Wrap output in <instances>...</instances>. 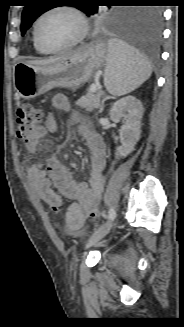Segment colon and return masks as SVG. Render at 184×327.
<instances>
[{
  "label": "colon",
  "mask_w": 184,
  "mask_h": 327,
  "mask_svg": "<svg viewBox=\"0 0 184 327\" xmlns=\"http://www.w3.org/2000/svg\"><path fill=\"white\" fill-rule=\"evenodd\" d=\"M42 111L31 104H23L18 107L16 112L17 136L20 139L28 140L39 129L42 121ZM53 211H58L57 208H52ZM91 218L98 216V210H92L89 213Z\"/></svg>",
  "instance_id": "1"
}]
</instances>
